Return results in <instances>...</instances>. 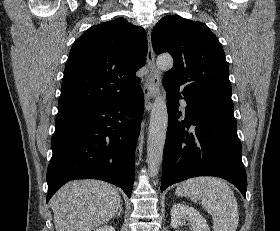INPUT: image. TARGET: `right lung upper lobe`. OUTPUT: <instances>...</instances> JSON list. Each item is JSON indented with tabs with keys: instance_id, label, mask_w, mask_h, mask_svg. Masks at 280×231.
Masks as SVG:
<instances>
[{
	"instance_id": "1",
	"label": "right lung upper lobe",
	"mask_w": 280,
	"mask_h": 231,
	"mask_svg": "<svg viewBox=\"0 0 280 231\" xmlns=\"http://www.w3.org/2000/svg\"><path fill=\"white\" fill-rule=\"evenodd\" d=\"M147 50L144 29L124 18L90 27L71 48L56 118L124 100L142 90L135 73L144 66Z\"/></svg>"
}]
</instances>
